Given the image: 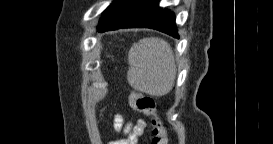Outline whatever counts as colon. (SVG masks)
I'll use <instances>...</instances> for the list:
<instances>
[{"mask_svg": "<svg viewBox=\"0 0 273 144\" xmlns=\"http://www.w3.org/2000/svg\"><path fill=\"white\" fill-rule=\"evenodd\" d=\"M131 105L136 111L152 117L153 136L151 143L167 144V131L158 114L157 105L154 99L141 93H134L131 96Z\"/></svg>", "mask_w": 273, "mask_h": 144, "instance_id": "colon-1", "label": "colon"}]
</instances>
